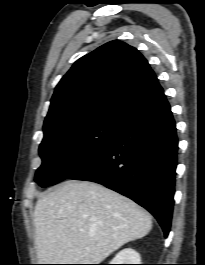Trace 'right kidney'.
I'll list each match as a JSON object with an SVG mask.
<instances>
[{"mask_svg": "<svg viewBox=\"0 0 205 265\" xmlns=\"http://www.w3.org/2000/svg\"><path fill=\"white\" fill-rule=\"evenodd\" d=\"M138 252L131 248L121 250L110 262L111 264H141Z\"/></svg>", "mask_w": 205, "mask_h": 265, "instance_id": "ca27d5eb", "label": "right kidney"}]
</instances>
